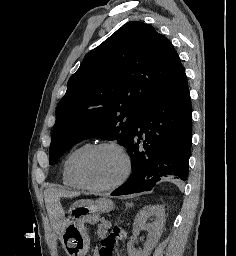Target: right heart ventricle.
<instances>
[{
	"label": "right heart ventricle",
	"mask_w": 236,
	"mask_h": 256,
	"mask_svg": "<svg viewBox=\"0 0 236 256\" xmlns=\"http://www.w3.org/2000/svg\"><path fill=\"white\" fill-rule=\"evenodd\" d=\"M91 143H84L74 148L64 159L61 170V180L63 184L71 189L82 190L84 187L80 183L77 175V166L81 156L91 147Z\"/></svg>",
	"instance_id": "e07e8e85"
}]
</instances>
